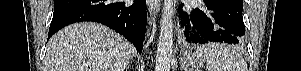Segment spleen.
<instances>
[{"mask_svg": "<svg viewBox=\"0 0 301 71\" xmlns=\"http://www.w3.org/2000/svg\"><path fill=\"white\" fill-rule=\"evenodd\" d=\"M196 54L207 63V71H248L243 57L224 44L202 45L197 48Z\"/></svg>", "mask_w": 301, "mask_h": 71, "instance_id": "1", "label": "spleen"}]
</instances>
